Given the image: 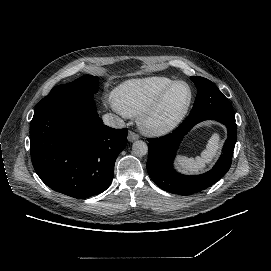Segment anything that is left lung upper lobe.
<instances>
[{
  "instance_id": "5c2ea615",
  "label": "left lung upper lobe",
  "mask_w": 271,
  "mask_h": 271,
  "mask_svg": "<svg viewBox=\"0 0 271 271\" xmlns=\"http://www.w3.org/2000/svg\"><path fill=\"white\" fill-rule=\"evenodd\" d=\"M191 80L196 85L198 93L190 114L204 111L234 113L230 102L213 82L199 76H192Z\"/></svg>"
}]
</instances>
